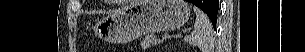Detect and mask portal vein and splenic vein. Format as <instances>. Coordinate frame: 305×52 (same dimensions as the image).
<instances>
[{"label":"portal vein and splenic vein","mask_w":305,"mask_h":52,"mask_svg":"<svg viewBox=\"0 0 305 52\" xmlns=\"http://www.w3.org/2000/svg\"><path fill=\"white\" fill-rule=\"evenodd\" d=\"M184 31H185V32H190V31H191V29H185Z\"/></svg>","instance_id":"obj_1"}]
</instances>
